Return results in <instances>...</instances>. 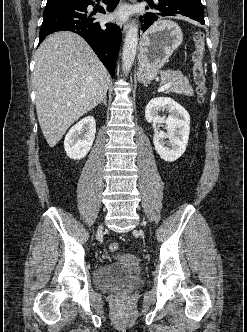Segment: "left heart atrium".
I'll list each match as a JSON object with an SVG mask.
<instances>
[{"label": "left heart atrium", "mask_w": 247, "mask_h": 332, "mask_svg": "<svg viewBox=\"0 0 247 332\" xmlns=\"http://www.w3.org/2000/svg\"><path fill=\"white\" fill-rule=\"evenodd\" d=\"M127 16V11L124 8L119 9L115 14L114 17L116 19H124Z\"/></svg>", "instance_id": "39dd6f15"}]
</instances>
